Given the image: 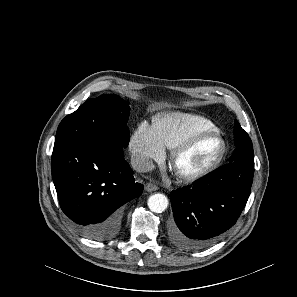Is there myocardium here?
<instances>
[{
	"mask_svg": "<svg viewBox=\"0 0 297 297\" xmlns=\"http://www.w3.org/2000/svg\"><path fill=\"white\" fill-rule=\"evenodd\" d=\"M206 137H215L219 141V150L216 154V156L212 159V161L207 164L202 169L192 172V173H184L178 170L177 168V161L178 159L188 150H190L198 141H200L203 138ZM226 152V142L223 138V136L216 130H202L198 131L196 133H193L189 137H187L185 140H183L180 144H178L171 152L170 155V164L171 167L176 174V176L181 179L184 182H195L205 176H207L209 173H211L213 170H215L219 164L222 162L224 155Z\"/></svg>",
	"mask_w": 297,
	"mask_h": 297,
	"instance_id": "1",
	"label": "myocardium"
}]
</instances>
